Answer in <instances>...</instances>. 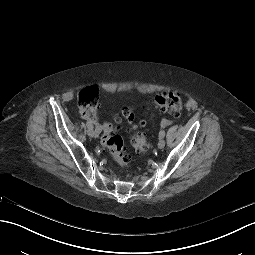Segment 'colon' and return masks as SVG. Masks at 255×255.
<instances>
[{"instance_id": "obj_1", "label": "colon", "mask_w": 255, "mask_h": 255, "mask_svg": "<svg viewBox=\"0 0 255 255\" xmlns=\"http://www.w3.org/2000/svg\"><path fill=\"white\" fill-rule=\"evenodd\" d=\"M153 104L162 111L179 116L182 111V101L178 94L173 92L159 93L153 98ZM78 106L80 112L86 118L94 119L98 108V90L96 87H88L80 91L78 95ZM125 119L131 123L133 120L132 111L129 108L123 110ZM130 143L139 152H145L149 145L145 137L132 131L130 132ZM101 143L106 147L113 159L123 168L130 166V155L123 151V140L117 134L116 128L111 123L102 126Z\"/></svg>"}]
</instances>
